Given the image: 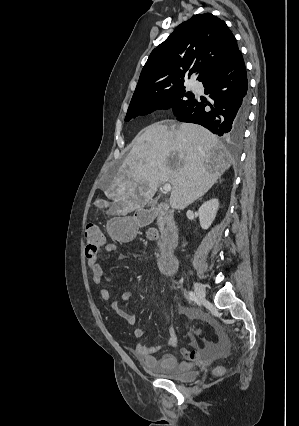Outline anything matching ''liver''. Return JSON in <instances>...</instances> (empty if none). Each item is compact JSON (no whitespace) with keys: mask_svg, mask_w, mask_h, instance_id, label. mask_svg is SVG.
<instances>
[{"mask_svg":"<svg viewBox=\"0 0 299 426\" xmlns=\"http://www.w3.org/2000/svg\"><path fill=\"white\" fill-rule=\"evenodd\" d=\"M231 166L224 145L207 129L154 123L135 139L116 176L104 189L107 213L127 215L145 206L160 184L172 185L170 205L183 210L202 197Z\"/></svg>","mask_w":299,"mask_h":426,"instance_id":"liver-1","label":"liver"}]
</instances>
